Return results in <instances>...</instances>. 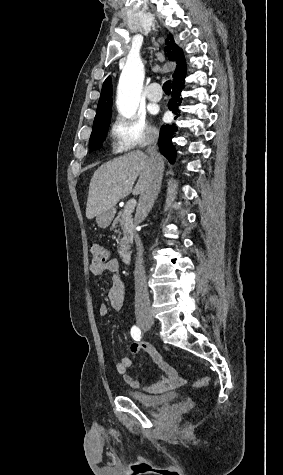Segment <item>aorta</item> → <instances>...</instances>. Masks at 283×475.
<instances>
[{
  "instance_id": "1",
  "label": "aorta",
  "mask_w": 283,
  "mask_h": 475,
  "mask_svg": "<svg viewBox=\"0 0 283 475\" xmlns=\"http://www.w3.org/2000/svg\"><path fill=\"white\" fill-rule=\"evenodd\" d=\"M144 81V66L138 59H129L120 75L117 87L118 112L131 118L135 115Z\"/></svg>"
}]
</instances>
